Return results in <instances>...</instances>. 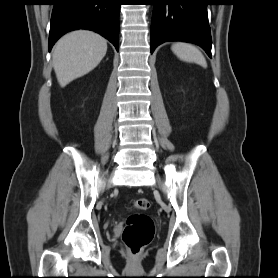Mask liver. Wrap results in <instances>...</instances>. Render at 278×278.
<instances>
[{
    "mask_svg": "<svg viewBox=\"0 0 278 278\" xmlns=\"http://www.w3.org/2000/svg\"><path fill=\"white\" fill-rule=\"evenodd\" d=\"M107 52V41L101 35L77 30L56 43L53 67L61 87L92 71Z\"/></svg>",
    "mask_w": 278,
    "mask_h": 278,
    "instance_id": "liver-1",
    "label": "liver"
}]
</instances>
